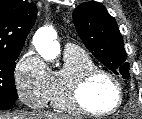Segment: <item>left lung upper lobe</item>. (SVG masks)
Returning <instances> with one entry per match:
<instances>
[{
    "mask_svg": "<svg viewBox=\"0 0 142 119\" xmlns=\"http://www.w3.org/2000/svg\"><path fill=\"white\" fill-rule=\"evenodd\" d=\"M75 28L89 51L106 67L123 78L129 77V63L115 19L98 2L89 1L73 12Z\"/></svg>",
    "mask_w": 142,
    "mask_h": 119,
    "instance_id": "1",
    "label": "left lung upper lobe"
}]
</instances>
